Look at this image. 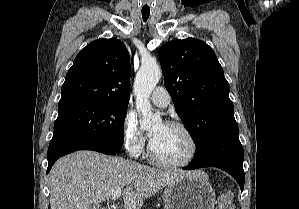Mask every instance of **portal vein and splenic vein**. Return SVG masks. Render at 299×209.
Listing matches in <instances>:
<instances>
[{
  "instance_id": "18ae733b",
  "label": "portal vein and splenic vein",
  "mask_w": 299,
  "mask_h": 209,
  "mask_svg": "<svg viewBox=\"0 0 299 209\" xmlns=\"http://www.w3.org/2000/svg\"><path fill=\"white\" fill-rule=\"evenodd\" d=\"M121 191H117L112 195V200H116L120 197Z\"/></svg>"
}]
</instances>
